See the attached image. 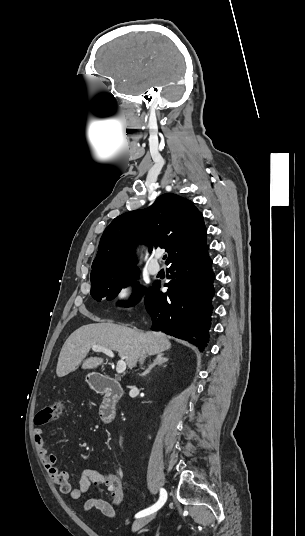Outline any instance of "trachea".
Wrapping results in <instances>:
<instances>
[{
  "instance_id": "1",
  "label": "trachea",
  "mask_w": 305,
  "mask_h": 536,
  "mask_svg": "<svg viewBox=\"0 0 305 536\" xmlns=\"http://www.w3.org/2000/svg\"><path fill=\"white\" fill-rule=\"evenodd\" d=\"M166 258H167V255H164V256H163V260H165Z\"/></svg>"
}]
</instances>
